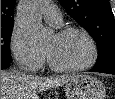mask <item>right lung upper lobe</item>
Returning <instances> with one entry per match:
<instances>
[{
  "label": "right lung upper lobe",
  "mask_w": 115,
  "mask_h": 99,
  "mask_svg": "<svg viewBox=\"0 0 115 99\" xmlns=\"http://www.w3.org/2000/svg\"><path fill=\"white\" fill-rule=\"evenodd\" d=\"M15 0H1V26L14 25Z\"/></svg>",
  "instance_id": "cb5924a9"
}]
</instances>
